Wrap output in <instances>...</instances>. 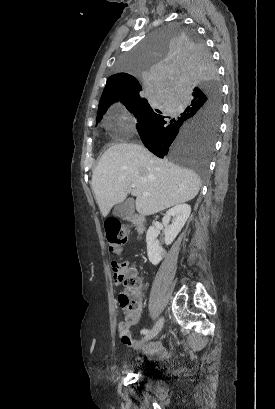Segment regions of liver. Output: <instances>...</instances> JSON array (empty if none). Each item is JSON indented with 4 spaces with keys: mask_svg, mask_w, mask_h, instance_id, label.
Segmentation results:
<instances>
[{
    "mask_svg": "<svg viewBox=\"0 0 275 409\" xmlns=\"http://www.w3.org/2000/svg\"><path fill=\"white\" fill-rule=\"evenodd\" d=\"M92 186L102 217L129 192L137 196L140 215H154L194 198L201 180L194 170L157 158L142 144L118 142L103 152L93 170Z\"/></svg>",
    "mask_w": 275,
    "mask_h": 409,
    "instance_id": "liver-1",
    "label": "liver"
}]
</instances>
